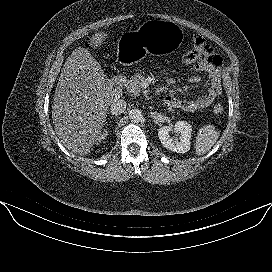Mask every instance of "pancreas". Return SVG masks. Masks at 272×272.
Here are the masks:
<instances>
[{
  "label": "pancreas",
  "instance_id": "obj_1",
  "mask_svg": "<svg viewBox=\"0 0 272 272\" xmlns=\"http://www.w3.org/2000/svg\"><path fill=\"white\" fill-rule=\"evenodd\" d=\"M144 79V76L140 73H136L130 79H127L124 82V86L128 92L132 93L133 95L137 96L141 92V81Z\"/></svg>",
  "mask_w": 272,
  "mask_h": 272
}]
</instances>
